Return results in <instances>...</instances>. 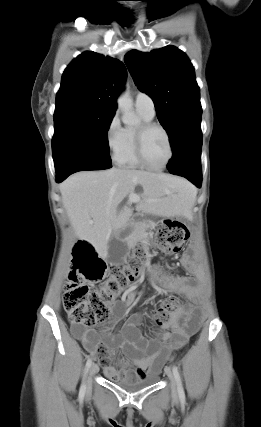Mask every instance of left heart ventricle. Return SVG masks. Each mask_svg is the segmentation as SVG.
Instances as JSON below:
<instances>
[{
  "label": "left heart ventricle",
  "mask_w": 261,
  "mask_h": 427,
  "mask_svg": "<svg viewBox=\"0 0 261 427\" xmlns=\"http://www.w3.org/2000/svg\"><path fill=\"white\" fill-rule=\"evenodd\" d=\"M144 152L151 165L160 166L165 163L169 156V147L165 135L160 130H152L146 135Z\"/></svg>",
  "instance_id": "1"
}]
</instances>
